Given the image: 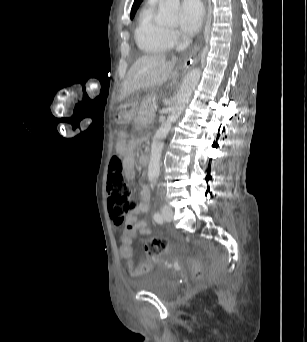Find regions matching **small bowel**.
Wrapping results in <instances>:
<instances>
[{
	"instance_id": "1",
	"label": "small bowel",
	"mask_w": 307,
	"mask_h": 342,
	"mask_svg": "<svg viewBox=\"0 0 307 342\" xmlns=\"http://www.w3.org/2000/svg\"><path fill=\"white\" fill-rule=\"evenodd\" d=\"M125 171L129 179L133 178L134 163L129 155H126L125 157ZM149 203L150 192L148 187L146 185H143L141 190V202L128 214L126 219V225H137V232H146L147 235L151 233V230L148 228L145 221L138 220V215L148 210Z\"/></svg>"
}]
</instances>
